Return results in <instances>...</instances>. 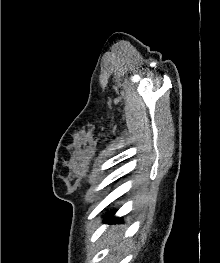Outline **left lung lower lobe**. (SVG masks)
<instances>
[{"instance_id":"1","label":"left lung lower lobe","mask_w":220,"mask_h":263,"mask_svg":"<svg viewBox=\"0 0 220 263\" xmlns=\"http://www.w3.org/2000/svg\"><path fill=\"white\" fill-rule=\"evenodd\" d=\"M113 215H114V212L108 214V216L105 218V221H107L108 223H119L120 219L114 218Z\"/></svg>"}]
</instances>
